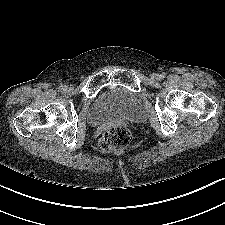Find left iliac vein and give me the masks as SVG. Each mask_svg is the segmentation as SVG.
<instances>
[{
  "mask_svg": "<svg viewBox=\"0 0 225 225\" xmlns=\"http://www.w3.org/2000/svg\"><path fill=\"white\" fill-rule=\"evenodd\" d=\"M151 79H152V80H158V79H159V74L153 73V74L151 75Z\"/></svg>",
  "mask_w": 225,
  "mask_h": 225,
  "instance_id": "left-iliac-vein-1",
  "label": "left iliac vein"
}]
</instances>
